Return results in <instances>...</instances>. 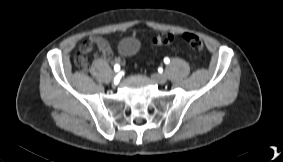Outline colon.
<instances>
[{
  "label": "colon",
  "instance_id": "5ec220e1",
  "mask_svg": "<svg viewBox=\"0 0 283 162\" xmlns=\"http://www.w3.org/2000/svg\"><path fill=\"white\" fill-rule=\"evenodd\" d=\"M183 40L195 51H201L203 49L202 40L193 33L183 34ZM173 41L174 35L170 33H161L153 39V44L156 46H164L171 44ZM74 61L79 68L84 69L88 63L87 55L83 53H78Z\"/></svg>",
  "mask_w": 283,
  "mask_h": 162
}]
</instances>
